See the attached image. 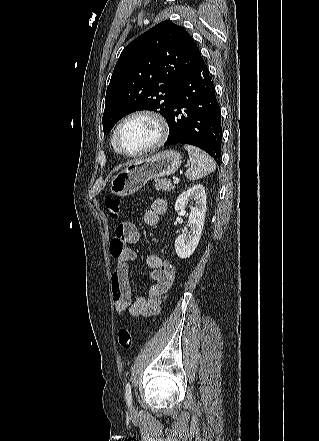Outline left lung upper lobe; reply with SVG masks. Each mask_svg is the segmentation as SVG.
<instances>
[{
	"instance_id": "1",
	"label": "left lung upper lobe",
	"mask_w": 319,
	"mask_h": 441,
	"mask_svg": "<svg viewBox=\"0 0 319 441\" xmlns=\"http://www.w3.org/2000/svg\"><path fill=\"white\" fill-rule=\"evenodd\" d=\"M200 59L189 33L168 20L129 43L106 91L104 134L137 110L159 111L168 121L177 87Z\"/></svg>"
}]
</instances>
